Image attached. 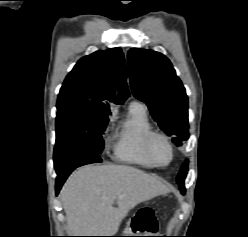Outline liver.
I'll return each mask as SVG.
<instances>
[{
  "label": "liver",
  "mask_w": 248,
  "mask_h": 237,
  "mask_svg": "<svg viewBox=\"0 0 248 237\" xmlns=\"http://www.w3.org/2000/svg\"><path fill=\"white\" fill-rule=\"evenodd\" d=\"M168 191L158 178L131 166L81 167L61 190L68 232L71 236H113L132 208Z\"/></svg>",
  "instance_id": "liver-1"
}]
</instances>
